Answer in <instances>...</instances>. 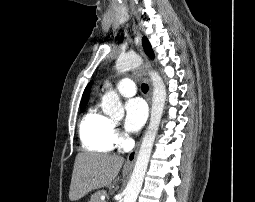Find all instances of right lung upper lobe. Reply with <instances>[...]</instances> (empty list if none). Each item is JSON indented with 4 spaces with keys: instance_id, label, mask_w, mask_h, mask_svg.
Instances as JSON below:
<instances>
[{
    "instance_id": "obj_1",
    "label": "right lung upper lobe",
    "mask_w": 255,
    "mask_h": 202,
    "mask_svg": "<svg viewBox=\"0 0 255 202\" xmlns=\"http://www.w3.org/2000/svg\"><path fill=\"white\" fill-rule=\"evenodd\" d=\"M91 87V83L86 87L84 93H83V96H82V100H81V105L82 104H85L87 103V100H88V94H89V89Z\"/></svg>"
}]
</instances>
